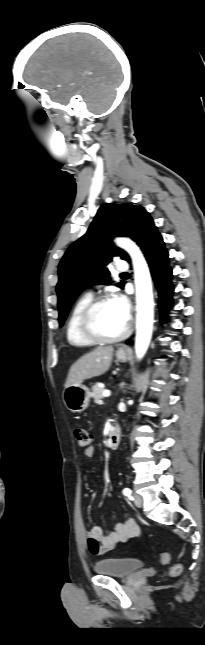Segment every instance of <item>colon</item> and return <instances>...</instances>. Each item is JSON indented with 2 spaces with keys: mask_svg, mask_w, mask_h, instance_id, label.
<instances>
[{
  "mask_svg": "<svg viewBox=\"0 0 205 645\" xmlns=\"http://www.w3.org/2000/svg\"><path fill=\"white\" fill-rule=\"evenodd\" d=\"M74 435L76 438V441L80 447H88L91 443V435L90 433L84 429V428H76L74 431ZM161 561L163 563H168L169 562V554L164 552L161 553L160 555ZM182 571V565L181 564H175L174 566L171 567L170 569V575L171 576H178Z\"/></svg>",
  "mask_w": 205,
  "mask_h": 645,
  "instance_id": "1",
  "label": "colon"
}]
</instances>
